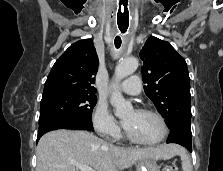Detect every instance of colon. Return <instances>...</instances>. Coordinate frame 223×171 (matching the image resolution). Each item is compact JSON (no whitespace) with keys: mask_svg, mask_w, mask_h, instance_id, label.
I'll use <instances>...</instances> for the list:
<instances>
[{"mask_svg":"<svg viewBox=\"0 0 223 171\" xmlns=\"http://www.w3.org/2000/svg\"><path fill=\"white\" fill-rule=\"evenodd\" d=\"M163 171H179L175 165H167L164 167Z\"/></svg>","mask_w":223,"mask_h":171,"instance_id":"1","label":"colon"}]
</instances>
